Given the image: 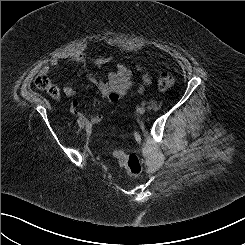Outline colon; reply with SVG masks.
Returning a JSON list of instances; mask_svg holds the SVG:
<instances>
[{
	"mask_svg": "<svg viewBox=\"0 0 245 245\" xmlns=\"http://www.w3.org/2000/svg\"><path fill=\"white\" fill-rule=\"evenodd\" d=\"M175 83L174 76L170 72H162L158 77V87L161 90L170 89ZM35 86L47 92L51 96L58 94L57 87L53 84L47 72H40L35 78ZM113 155L118 159L121 166L124 167L127 176L136 178L140 175L142 166L139 157L135 153H126L120 150L113 151Z\"/></svg>",
	"mask_w": 245,
	"mask_h": 245,
	"instance_id": "obj_1",
	"label": "colon"
}]
</instances>
